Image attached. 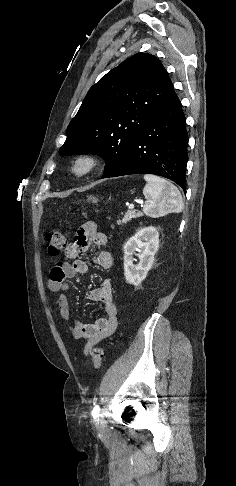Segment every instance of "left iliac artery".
<instances>
[{"label": "left iliac artery", "mask_w": 236, "mask_h": 486, "mask_svg": "<svg viewBox=\"0 0 236 486\" xmlns=\"http://www.w3.org/2000/svg\"><path fill=\"white\" fill-rule=\"evenodd\" d=\"M99 411H100V408H99L98 405H96L94 407V409L92 410V416H93L94 419H96L98 417Z\"/></svg>", "instance_id": "44dca946"}]
</instances>
